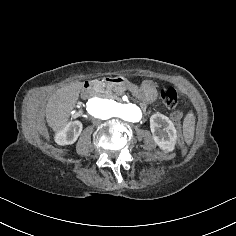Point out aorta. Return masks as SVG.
Wrapping results in <instances>:
<instances>
[{"label": "aorta", "mask_w": 236, "mask_h": 236, "mask_svg": "<svg viewBox=\"0 0 236 236\" xmlns=\"http://www.w3.org/2000/svg\"><path fill=\"white\" fill-rule=\"evenodd\" d=\"M86 110L91 115L102 120L113 117L127 122H139L142 119V111L135 104H120L111 100L93 97L86 103Z\"/></svg>", "instance_id": "obj_1"}]
</instances>
